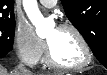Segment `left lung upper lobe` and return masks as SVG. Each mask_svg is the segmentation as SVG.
Returning <instances> with one entry per match:
<instances>
[{
	"mask_svg": "<svg viewBox=\"0 0 107 75\" xmlns=\"http://www.w3.org/2000/svg\"><path fill=\"white\" fill-rule=\"evenodd\" d=\"M68 19L83 35L94 55L107 51V0H61ZM107 68V53L105 55Z\"/></svg>",
	"mask_w": 107,
	"mask_h": 75,
	"instance_id": "5c2ea615",
	"label": "left lung upper lobe"
}]
</instances>
